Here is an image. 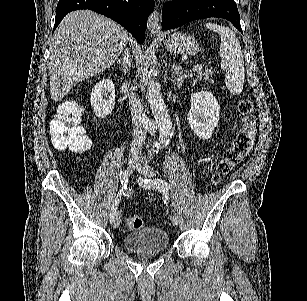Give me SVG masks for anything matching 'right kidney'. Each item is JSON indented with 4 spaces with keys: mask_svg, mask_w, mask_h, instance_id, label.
Wrapping results in <instances>:
<instances>
[{
    "mask_svg": "<svg viewBox=\"0 0 307 301\" xmlns=\"http://www.w3.org/2000/svg\"><path fill=\"white\" fill-rule=\"evenodd\" d=\"M91 106L95 116L105 118L111 114L115 106V86L110 78H102L97 84H94L90 94Z\"/></svg>",
    "mask_w": 307,
    "mask_h": 301,
    "instance_id": "ca27d5eb",
    "label": "right kidney"
}]
</instances>
